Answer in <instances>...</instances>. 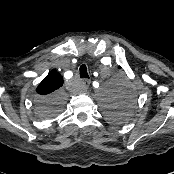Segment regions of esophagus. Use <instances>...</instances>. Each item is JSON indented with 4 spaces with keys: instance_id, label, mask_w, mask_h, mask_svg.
Instances as JSON below:
<instances>
[{
    "instance_id": "esophagus-1",
    "label": "esophagus",
    "mask_w": 174,
    "mask_h": 174,
    "mask_svg": "<svg viewBox=\"0 0 174 174\" xmlns=\"http://www.w3.org/2000/svg\"><path fill=\"white\" fill-rule=\"evenodd\" d=\"M90 83H91V81L89 79H83L81 81L82 89L87 90L88 87L90 86Z\"/></svg>"
}]
</instances>
